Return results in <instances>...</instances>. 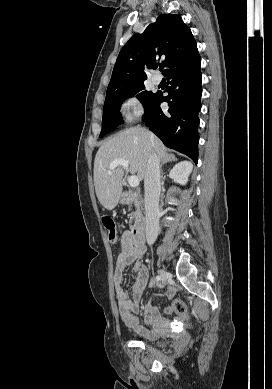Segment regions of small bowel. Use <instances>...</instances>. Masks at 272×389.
<instances>
[{"label": "small bowel", "instance_id": "c3829d8e", "mask_svg": "<svg viewBox=\"0 0 272 389\" xmlns=\"http://www.w3.org/2000/svg\"><path fill=\"white\" fill-rule=\"evenodd\" d=\"M121 250L118 254L115 271H114V288L118 301V307L121 319L125 326L142 338L150 339L153 332L146 326L159 318V310L157 307L148 303L144 307V319L141 323L136 317V313L140 309V300L142 292L149 280V271L146 265L143 263V256L145 254V246L135 245L129 239V233H123L120 241ZM128 265H133L137 274L136 279L132 285L133 295L128 297L126 291L122 287L124 270ZM151 285L155 287V283L151 282ZM174 291L172 288H168L166 295L171 297ZM167 313H171V309H166Z\"/></svg>", "mask_w": 272, "mask_h": 389}]
</instances>
